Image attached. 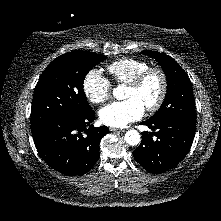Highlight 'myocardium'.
I'll return each instance as SVG.
<instances>
[{
    "mask_svg": "<svg viewBox=\"0 0 221 221\" xmlns=\"http://www.w3.org/2000/svg\"><path fill=\"white\" fill-rule=\"evenodd\" d=\"M151 75H157L160 79V92L154 103L145 107L148 112L157 111L161 105L163 104L167 91H168V80L165 72L159 67H149L139 73L136 77H134L127 85L131 88L138 89L140 88L146 79Z\"/></svg>",
    "mask_w": 221,
    "mask_h": 221,
    "instance_id": "f54148a6",
    "label": "myocardium"
}]
</instances>
